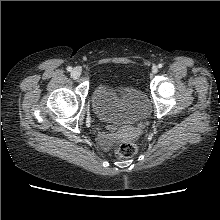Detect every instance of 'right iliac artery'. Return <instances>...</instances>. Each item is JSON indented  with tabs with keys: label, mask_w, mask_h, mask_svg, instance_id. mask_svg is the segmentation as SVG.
<instances>
[{
	"label": "right iliac artery",
	"mask_w": 220,
	"mask_h": 220,
	"mask_svg": "<svg viewBox=\"0 0 220 220\" xmlns=\"http://www.w3.org/2000/svg\"><path fill=\"white\" fill-rule=\"evenodd\" d=\"M67 70H68V71H72V67H70V66L67 67Z\"/></svg>",
	"instance_id": "right-iliac-artery-1"
}]
</instances>
